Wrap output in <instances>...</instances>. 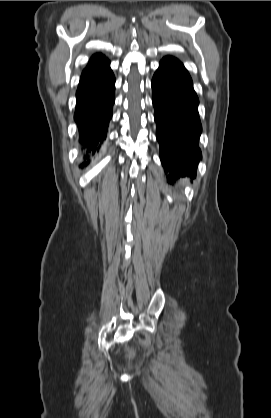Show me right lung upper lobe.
<instances>
[{"label":"right lung upper lobe","mask_w":271,"mask_h":418,"mask_svg":"<svg viewBox=\"0 0 271 418\" xmlns=\"http://www.w3.org/2000/svg\"><path fill=\"white\" fill-rule=\"evenodd\" d=\"M107 59L105 58V56H103L102 54H94L92 57H91V59H90V61H89V64H88V66L83 70V73L85 72V71H87L88 69H90L91 67H93V66H95V65H97V64H99V63H101V62H103V61H106Z\"/></svg>","instance_id":"cb5924a9"}]
</instances>
